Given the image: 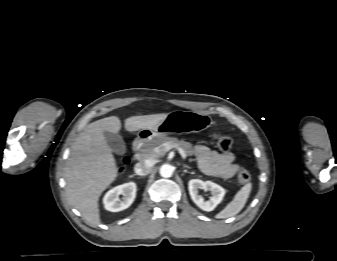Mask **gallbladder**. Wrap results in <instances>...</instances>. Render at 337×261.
Segmentation results:
<instances>
[{
    "label": "gallbladder",
    "instance_id": "bac80fb5",
    "mask_svg": "<svg viewBox=\"0 0 337 261\" xmlns=\"http://www.w3.org/2000/svg\"><path fill=\"white\" fill-rule=\"evenodd\" d=\"M104 137L107 144L110 146L113 152L119 155L126 153V145L123 138L118 133L104 132Z\"/></svg>",
    "mask_w": 337,
    "mask_h": 261
}]
</instances>
